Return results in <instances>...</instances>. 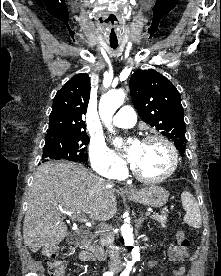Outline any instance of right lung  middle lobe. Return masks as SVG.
<instances>
[{"instance_id": "1", "label": "right lung middle lobe", "mask_w": 221, "mask_h": 276, "mask_svg": "<svg viewBox=\"0 0 221 276\" xmlns=\"http://www.w3.org/2000/svg\"><path fill=\"white\" fill-rule=\"evenodd\" d=\"M88 143L86 132L46 136L42 161L65 159L85 162L88 158L85 146Z\"/></svg>"}]
</instances>
